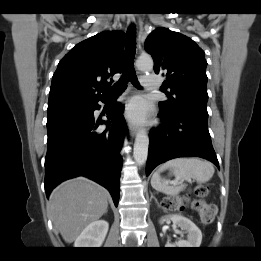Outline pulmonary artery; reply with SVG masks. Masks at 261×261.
Returning <instances> with one entry per match:
<instances>
[{
    "instance_id": "e3ab8cb5",
    "label": "pulmonary artery",
    "mask_w": 261,
    "mask_h": 261,
    "mask_svg": "<svg viewBox=\"0 0 261 261\" xmlns=\"http://www.w3.org/2000/svg\"><path fill=\"white\" fill-rule=\"evenodd\" d=\"M141 82L146 89H156L160 85L159 77L156 75H143Z\"/></svg>"
}]
</instances>
